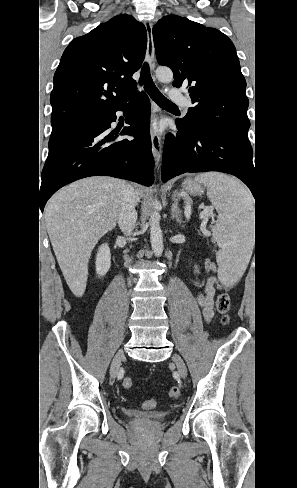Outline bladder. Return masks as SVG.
Masks as SVG:
<instances>
[{
	"label": "bladder",
	"mask_w": 297,
	"mask_h": 488,
	"mask_svg": "<svg viewBox=\"0 0 297 488\" xmlns=\"http://www.w3.org/2000/svg\"><path fill=\"white\" fill-rule=\"evenodd\" d=\"M126 416L133 420H138L141 422H159L166 418V413L164 412H139L136 410L126 411Z\"/></svg>",
	"instance_id": "obj_1"
}]
</instances>
